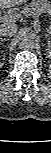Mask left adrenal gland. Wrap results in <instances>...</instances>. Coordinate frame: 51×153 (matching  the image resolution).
<instances>
[{
  "instance_id": "1",
  "label": "left adrenal gland",
  "mask_w": 51,
  "mask_h": 153,
  "mask_svg": "<svg viewBox=\"0 0 51 153\" xmlns=\"http://www.w3.org/2000/svg\"><path fill=\"white\" fill-rule=\"evenodd\" d=\"M46 39H47V41H48V46H49V48H50V37H49L48 34H46Z\"/></svg>"
}]
</instances>
